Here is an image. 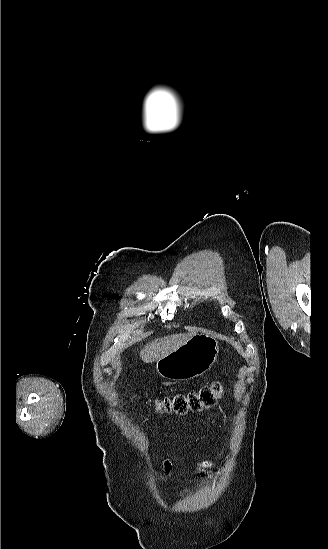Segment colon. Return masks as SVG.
<instances>
[{
    "instance_id": "obj_1",
    "label": "colon",
    "mask_w": 328,
    "mask_h": 549,
    "mask_svg": "<svg viewBox=\"0 0 328 549\" xmlns=\"http://www.w3.org/2000/svg\"><path fill=\"white\" fill-rule=\"evenodd\" d=\"M222 395V384L219 381H214L198 391L158 398L155 405L157 410L162 413L185 414L190 411H200L212 407Z\"/></svg>"
}]
</instances>
